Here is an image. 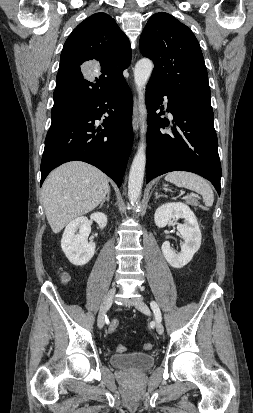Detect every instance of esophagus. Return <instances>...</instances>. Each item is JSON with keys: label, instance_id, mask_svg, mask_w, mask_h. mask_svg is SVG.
Returning <instances> with one entry per match:
<instances>
[{"label": "esophagus", "instance_id": "1", "mask_svg": "<svg viewBox=\"0 0 253 413\" xmlns=\"http://www.w3.org/2000/svg\"><path fill=\"white\" fill-rule=\"evenodd\" d=\"M132 122H133V129L136 132L139 127V108H138V99L135 96L134 100V110H133V117H132Z\"/></svg>", "mask_w": 253, "mask_h": 413}]
</instances>
